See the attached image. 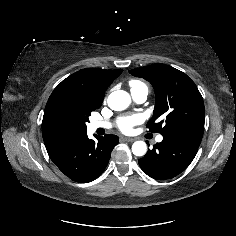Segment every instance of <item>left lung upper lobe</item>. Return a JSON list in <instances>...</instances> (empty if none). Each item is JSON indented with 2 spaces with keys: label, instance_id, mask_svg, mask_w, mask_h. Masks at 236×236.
Masks as SVG:
<instances>
[{
  "label": "left lung upper lobe",
  "instance_id": "5c2ea615",
  "mask_svg": "<svg viewBox=\"0 0 236 236\" xmlns=\"http://www.w3.org/2000/svg\"><path fill=\"white\" fill-rule=\"evenodd\" d=\"M149 81L155 90L153 117L147 123L152 132L169 135L177 132L204 131L205 108L195 83L183 72L154 64L129 71Z\"/></svg>",
  "mask_w": 236,
  "mask_h": 236
}]
</instances>
